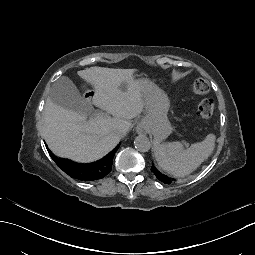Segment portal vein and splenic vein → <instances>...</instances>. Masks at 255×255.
I'll return each mask as SVG.
<instances>
[{
  "label": "portal vein and splenic vein",
  "mask_w": 255,
  "mask_h": 255,
  "mask_svg": "<svg viewBox=\"0 0 255 255\" xmlns=\"http://www.w3.org/2000/svg\"><path fill=\"white\" fill-rule=\"evenodd\" d=\"M99 115H104V116H105V115H107V114L101 113V114H99ZM95 116H98V115H94L93 117H95ZM93 117H92V118H93ZM85 122H86V121H83V123H85Z\"/></svg>",
  "instance_id": "18ae733b"
}]
</instances>
